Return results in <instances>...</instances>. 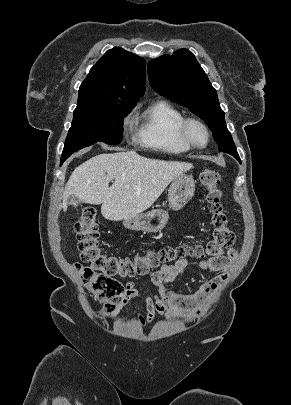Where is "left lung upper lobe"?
Here are the masks:
<instances>
[{
    "label": "left lung upper lobe",
    "instance_id": "left-lung-upper-lobe-1",
    "mask_svg": "<svg viewBox=\"0 0 291 405\" xmlns=\"http://www.w3.org/2000/svg\"><path fill=\"white\" fill-rule=\"evenodd\" d=\"M151 87L163 96L188 107L209 126L219 150L240 161L232 136L226 127L217 92L193 53L187 49L163 55L148 63Z\"/></svg>",
    "mask_w": 291,
    "mask_h": 405
}]
</instances>
